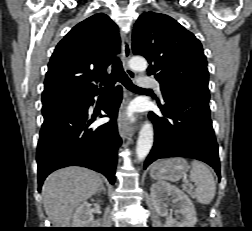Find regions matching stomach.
<instances>
[{"instance_id": "obj_1", "label": "stomach", "mask_w": 252, "mask_h": 231, "mask_svg": "<svg viewBox=\"0 0 252 231\" xmlns=\"http://www.w3.org/2000/svg\"><path fill=\"white\" fill-rule=\"evenodd\" d=\"M189 166L183 158H171L156 162L150 176L160 181H177L187 173Z\"/></svg>"}]
</instances>
